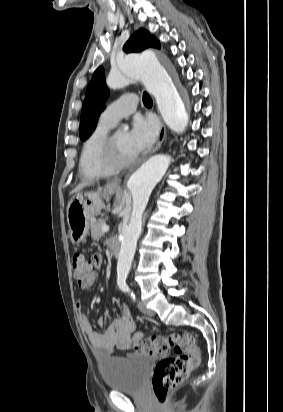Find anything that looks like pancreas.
<instances>
[{
	"mask_svg": "<svg viewBox=\"0 0 283 412\" xmlns=\"http://www.w3.org/2000/svg\"><path fill=\"white\" fill-rule=\"evenodd\" d=\"M103 225H105L104 219H98L91 222V236L93 239L98 240L103 235V232L101 231Z\"/></svg>",
	"mask_w": 283,
	"mask_h": 412,
	"instance_id": "obj_1",
	"label": "pancreas"
}]
</instances>
